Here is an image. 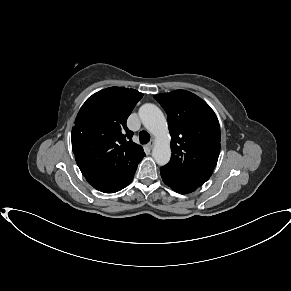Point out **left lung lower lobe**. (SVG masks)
I'll list each match as a JSON object with an SVG mask.
<instances>
[{"instance_id":"left-lung-lower-lobe-1","label":"left lung lower lobe","mask_w":291,"mask_h":291,"mask_svg":"<svg viewBox=\"0 0 291 291\" xmlns=\"http://www.w3.org/2000/svg\"><path fill=\"white\" fill-rule=\"evenodd\" d=\"M160 172L164 183L178 193L188 194L200 187L172 174L166 169L160 168Z\"/></svg>"}]
</instances>
